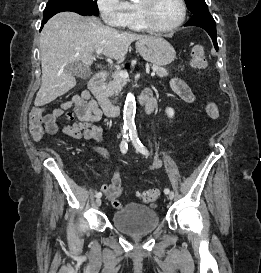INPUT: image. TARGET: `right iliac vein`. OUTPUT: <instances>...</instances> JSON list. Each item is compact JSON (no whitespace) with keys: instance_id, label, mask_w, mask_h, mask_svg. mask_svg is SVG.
Wrapping results in <instances>:
<instances>
[{"instance_id":"right-iliac-vein-1","label":"right iliac vein","mask_w":261,"mask_h":273,"mask_svg":"<svg viewBox=\"0 0 261 273\" xmlns=\"http://www.w3.org/2000/svg\"><path fill=\"white\" fill-rule=\"evenodd\" d=\"M101 203H102L101 198H98V199L96 200V204H97V206H100V205H101Z\"/></svg>"}]
</instances>
